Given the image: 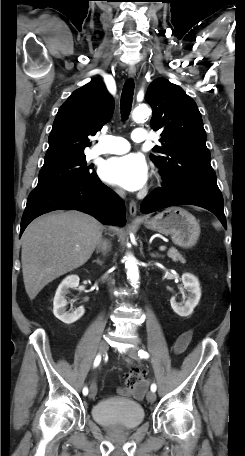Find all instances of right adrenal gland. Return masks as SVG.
Returning <instances> with one entry per match:
<instances>
[{"mask_svg":"<svg viewBox=\"0 0 245 456\" xmlns=\"http://www.w3.org/2000/svg\"><path fill=\"white\" fill-rule=\"evenodd\" d=\"M95 262H97V263H99V264L102 263V261H101L100 259L95 260Z\"/></svg>","mask_w":245,"mask_h":456,"instance_id":"obj_1","label":"right adrenal gland"}]
</instances>
